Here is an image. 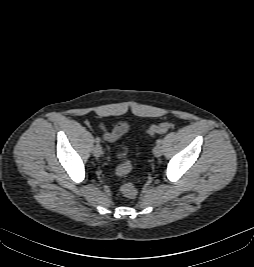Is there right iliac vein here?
Segmentation results:
<instances>
[{"label": "right iliac vein", "mask_w": 254, "mask_h": 267, "mask_svg": "<svg viewBox=\"0 0 254 267\" xmlns=\"http://www.w3.org/2000/svg\"><path fill=\"white\" fill-rule=\"evenodd\" d=\"M102 154V147L100 145H96L94 148H93V155L95 157H99L101 156Z\"/></svg>", "instance_id": "obj_1"}]
</instances>
